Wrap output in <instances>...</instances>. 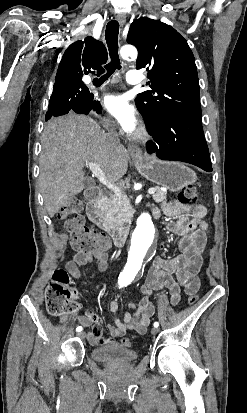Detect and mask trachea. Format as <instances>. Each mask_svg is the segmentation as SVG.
Segmentation results:
<instances>
[{"mask_svg":"<svg viewBox=\"0 0 247 413\" xmlns=\"http://www.w3.org/2000/svg\"><path fill=\"white\" fill-rule=\"evenodd\" d=\"M118 34L119 23L116 20H112L107 24L106 27V41L109 48L111 62L105 65L107 73L97 80H107L116 69H121V64L118 56Z\"/></svg>","mask_w":247,"mask_h":413,"instance_id":"3493384b","label":"trachea"}]
</instances>
